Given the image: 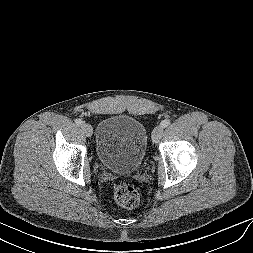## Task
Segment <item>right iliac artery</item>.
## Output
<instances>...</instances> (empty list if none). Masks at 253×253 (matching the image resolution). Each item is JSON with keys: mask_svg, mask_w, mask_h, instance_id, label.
Here are the masks:
<instances>
[{"mask_svg": "<svg viewBox=\"0 0 253 253\" xmlns=\"http://www.w3.org/2000/svg\"><path fill=\"white\" fill-rule=\"evenodd\" d=\"M75 123L78 125V126H81L83 124V121L81 119H76L75 120Z\"/></svg>", "mask_w": 253, "mask_h": 253, "instance_id": "1", "label": "right iliac artery"}]
</instances>
